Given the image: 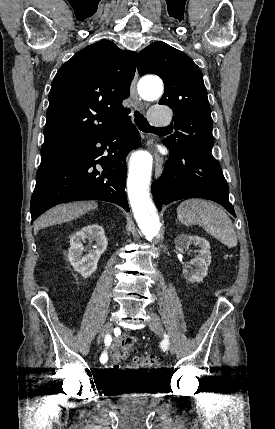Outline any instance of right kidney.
<instances>
[{
	"mask_svg": "<svg viewBox=\"0 0 275 429\" xmlns=\"http://www.w3.org/2000/svg\"><path fill=\"white\" fill-rule=\"evenodd\" d=\"M86 240L89 244L84 248L83 243ZM94 241L95 245H92ZM107 245L103 227L98 224L87 225L70 237L68 259L74 270L87 278L96 271L99 258L107 249ZM84 251L88 254L83 255Z\"/></svg>",
	"mask_w": 275,
	"mask_h": 429,
	"instance_id": "1",
	"label": "right kidney"
}]
</instances>
